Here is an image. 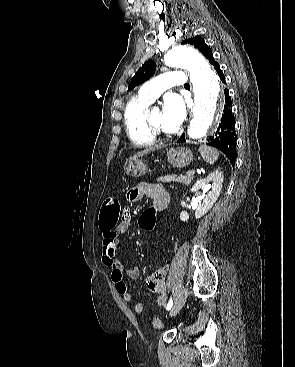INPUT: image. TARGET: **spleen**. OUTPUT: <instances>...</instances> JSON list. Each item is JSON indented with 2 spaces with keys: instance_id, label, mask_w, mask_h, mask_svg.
Masks as SVG:
<instances>
[{
  "instance_id": "3e777b00",
  "label": "spleen",
  "mask_w": 295,
  "mask_h": 367,
  "mask_svg": "<svg viewBox=\"0 0 295 367\" xmlns=\"http://www.w3.org/2000/svg\"><path fill=\"white\" fill-rule=\"evenodd\" d=\"M199 153L203 160L210 165H213L219 157V152L216 149L207 145H201L199 147Z\"/></svg>"
}]
</instances>
